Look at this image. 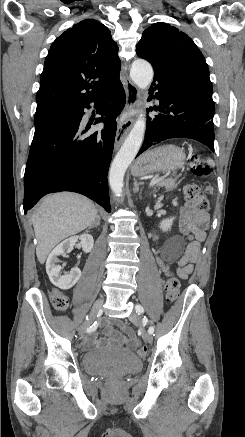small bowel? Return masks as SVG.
Returning <instances> with one entry per match:
<instances>
[{
  "instance_id": "small-bowel-1",
  "label": "small bowel",
  "mask_w": 245,
  "mask_h": 437,
  "mask_svg": "<svg viewBox=\"0 0 245 437\" xmlns=\"http://www.w3.org/2000/svg\"><path fill=\"white\" fill-rule=\"evenodd\" d=\"M210 218L208 213L198 211L192 203H186L178 213V223L180 232L188 239L185 253L179 260L177 273L181 278L188 277L192 272L193 263L198 260L201 243L206 238V230L209 226ZM157 263L161 270L168 275L170 269L163 259L157 254ZM106 334L116 343L127 348L133 349L139 345L138 338L131 329L127 328L128 337L123 336L114 330L107 321H105ZM95 333H91L86 341V346L96 345Z\"/></svg>"
}]
</instances>
